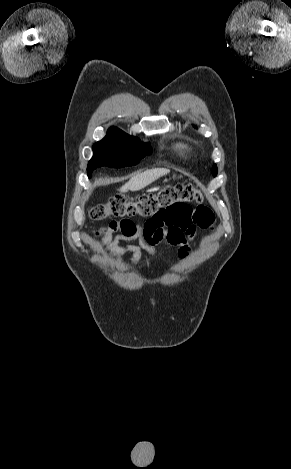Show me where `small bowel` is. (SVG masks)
I'll use <instances>...</instances> for the list:
<instances>
[{"label": "small bowel", "mask_w": 291, "mask_h": 469, "mask_svg": "<svg viewBox=\"0 0 291 469\" xmlns=\"http://www.w3.org/2000/svg\"><path fill=\"white\" fill-rule=\"evenodd\" d=\"M213 223L214 216L211 211L201 218L196 210L188 207L184 210L166 211L141 225H136L130 220L111 222L100 239L108 255L114 258L118 265L122 263L125 253H131L132 265H137L142 251L155 258V246L163 241L178 246L179 256L184 259L189 255V242L195 236L196 227L207 229L211 228ZM136 241L138 244H135Z\"/></svg>", "instance_id": "obj_1"}]
</instances>
